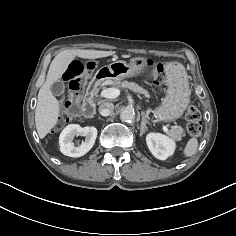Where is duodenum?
<instances>
[{"instance_id":"obj_1","label":"duodenum","mask_w":236,"mask_h":236,"mask_svg":"<svg viewBox=\"0 0 236 236\" xmlns=\"http://www.w3.org/2000/svg\"><path fill=\"white\" fill-rule=\"evenodd\" d=\"M106 79L103 75H97L88 85L85 101L83 105V115L87 119H91L94 117L96 112V105L94 101V97L97 93L98 87L100 84Z\"/></svg>"}]
</instances>
